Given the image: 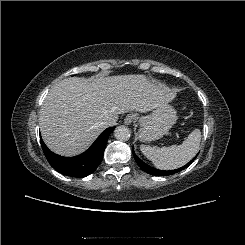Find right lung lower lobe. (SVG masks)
I'll list each match as a JSON object with an SVG mask.
<instances>
[{"instance_id":"98d812e1","label":"right lung lower lobe","mask_w":245,"mask_h":245,"mask_svg":"<svg viewBox=\"0 0 245 245\" xmlns=\"http://www.w3.org/2000/svg\"><path fill=\"white\" fill-rule=\"evenodd\" d=\"M115 127L107 128L84 153L75 157H63L51 152L42 139L41 146L50 165L61 174L86 177L93 173L102 161L109 135Z\"/></svg>"}]
</instances>
